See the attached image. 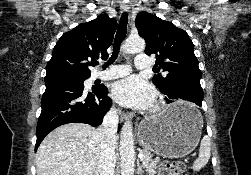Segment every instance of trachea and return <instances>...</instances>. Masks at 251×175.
Returning a JSON list of instances; mask_svg holds the SVG:
<instances>
[{
	"mask_svg": "<svg viewBox=\"0 0 251 175\" xmlns=\"http://www.w3.org/2000/svg\"><path fill=\"white\" fill-rule=\"evenodd\" d=\"M127 21H128V14L127 12H124L120 18L119 25L117 28L115 40H114V47H113V54L109 61L104 64L103 69H105L109 64H112L119 53L121 43L123 42L126 33H127ZM157 71V70H154Z\"/></svg>",
	"mask_w": 251,
	"mask_h": 175,
	"instance_id": "1",
	"label": "trachea"
}]
</instances>
